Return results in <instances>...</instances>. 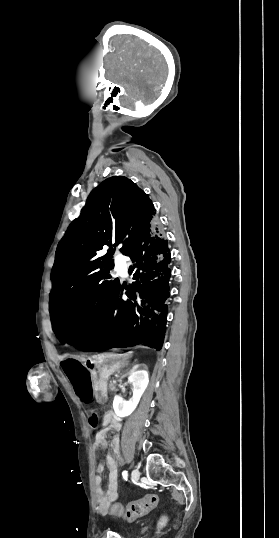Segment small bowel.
Segmentation results:
<instances>
[{
  "mask_svg": "<svg viewBox=\"0 0 279 538\" xmlns=\"http://www.w3.org/2000/svg\"><path fill=\"white\" fill-rule=\"evenodd\" d=\"M66 376L77 398L82 403H90L94 397L93 376L86 369L70 370L66 372ZM98 423V416L93 413L89 419V424L94 428ZM101 426L95 436V450L105 449L109 432L120 429L119 421L111 414H106L103 417ZM111 448L113 454L106 457L105 465H98L95 478L96 501L100 509L108 508L118 498V467L116 459L121 455V439L119 436H114ZM105 466L108 469V487L106 491L102 487V474Z\"/></svg>",
  "mask_w": 279,
  "mask_h": 538,
  "instance_id": "1",
  "label": "small bowel"
}]
</instances>
